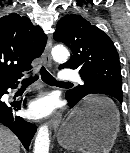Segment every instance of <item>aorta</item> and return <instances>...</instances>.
<instances>
[{
	"label": "aorta",
	"mask_w": 130,
	"mask_h": 153,
	"mask_svg": "<svg viewBox=\"0 0 130 153\" xmlns=\"http://www.w3.org/2000/svg\"><path fill=\"white\" fill-rule=\"evenodd\" d=\"M52 56L55 61H67L69 52L65 47L56 46L52 49ZM49 129L48 126L42 125L37 133L34 145V153H48L49 152Z\"/></svg>",
	"instance_id": "obj_1"
}]
</instances>
